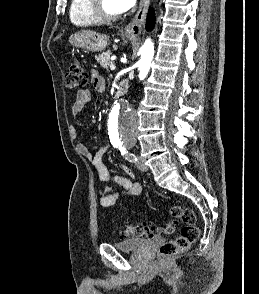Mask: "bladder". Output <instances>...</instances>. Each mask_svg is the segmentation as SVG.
I'll list each match as a JSON object with an SVG mask.
<instances>
[{
    "instance_id": "bladder-1",
    "label": "bladder",
    "mask_w": 259,
    "mask_h": 294,
    "mask_svg": "<svg viewBox=\"0 0 259 294\" xmlns=\"http://www.w3.org/2000/svg\"><path fill=\"white\" fill-rule=\"evenodd\" d=\"M160 239L159 236H153L148 238L133 237L124 239L118 242H112L111 244L123 252H137L142 250L144 247L152 244Z\"/></svg>"
}]
</instances>
